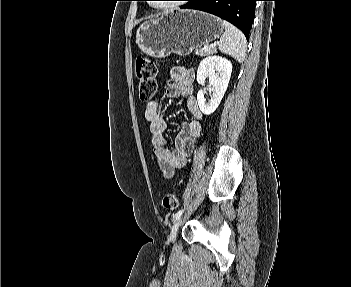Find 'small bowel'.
Listing matches in <instances>:
<instances>
[{
    "mask_svg": "<svg viewBox=\"0 0 351 287\" xmlns=\"http://www.w3.org/2000/svg\"><path fill=\"white\" fill-rule=\"evenodd\" d=\"M170 76L173 82L166 87V96L168 98L184 97L187 109L192 116L190 121L183 123L174 140L173 148H169L164 139L167 122L161 104L153 100L147 103L144 109V116L152 134L153 151L161 171L167 178L172 177L176 169L186 165L188 157L195 148L196 140L201 136L203 117L194 96V72L177 66L171 68Z\"/></svg>",
    "mask_w": 351,
    "mask_h": 287,
    "instance_id": "c3829d8e",
    "label": "small bowel"
}]
</instances>
